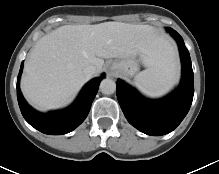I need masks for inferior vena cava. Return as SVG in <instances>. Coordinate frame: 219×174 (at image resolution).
<instances>
[{
	"label": "inferior vena cava",
	"mask_w": 219,
	"mask_h": 174,
	"mask_svg": "<svg viewBox=\"0 0 219 174\" xmlns=\"http://www.w3.org/2000/svg\"><path fill=\"white\" fill-rule=\"evenodd\" d=\"M83 73L89 79L96 73V67L93 65H88L83 69Z\"/></svg>",
	"instance_id": "1"
}]
</instances>
